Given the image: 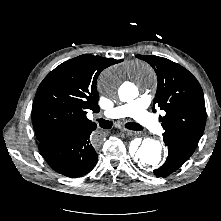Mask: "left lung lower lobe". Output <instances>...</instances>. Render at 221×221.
I'll return each instance as SVG.
<instances>
[{"label":"left lung lower lobe","instance_id":"1","mask_svg":"<svg viewBox=\"0 0 221 221\" xmlns=\"http://www.w3.org/2000/svg\"><path fill=\"white\" fill-rule=\"evenodd\" d=\"M164 142L168 146V157L160 168L153 171L160 177H165L180 168L196 148L191 143L172 137H165Z\"/></svg>","mask_w":221,"mask_h":221}]
</instances>
